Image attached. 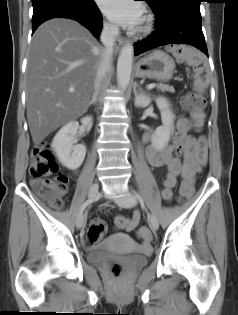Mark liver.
Segmentation results:
<instances>
[{
  "label": "liver",
  "mask_w": 238,
  "mask_h": 315,
  "mask_svg": "<svg viewBox=\"0 0 238 315\" xmlns=\"http://www.w3.org/2000/svg\"><path fill=\"white\" fill-rule=\"evenodd\" d=\"M102 49L78 22L54 18L31 40L27 72L28 126L34 144L85 113ZM74 92H69V88Z\"/></svg>",
  "instance_id": "6515ba94"
}]
</instances>
